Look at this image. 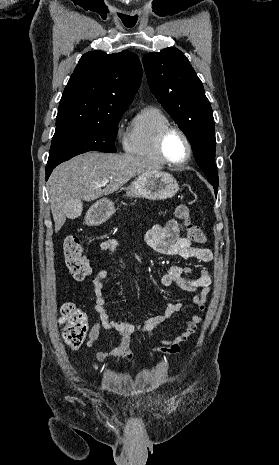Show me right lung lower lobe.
Wrapping results in <instances>:
<instances>
[{"mask_svg": "<svg viewBox=\"0 0 279 465\" xmlns=\"http://www.w3.org/2000/svg\"><path fill=\"white\" fill-rule=\"evenodd\" d=\"M56 166H46V179H48L49 175L51 174L52 170L55 168Z\"/></svg>", "mask_w": 279, "mask_h": 465, "instance_id": "obj_1", "label": "right lung lower lobe"}]
</instances>
